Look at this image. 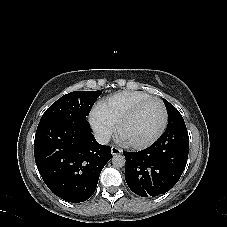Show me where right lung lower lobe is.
Returning <instances> with one entry per match:
<instances>
[{
    "instance_id": "obj_1",
    "label": "right lung lower lobe",
    "mask_w": 227,
    "mask_h": 227,
    "mask_svg": "<svg viewBox=\"0 0 227 227\" xmlns=\"http://www.w3.org/2000/svg\"><path fill=\"white\" fill-rule=\"evenodd\" d=\"M91 132L86 120L38 124L34 141L38 171L48 188L65 201L89 199L111 159V147L99 144Z\"/></svg>"
}]
</instances>
